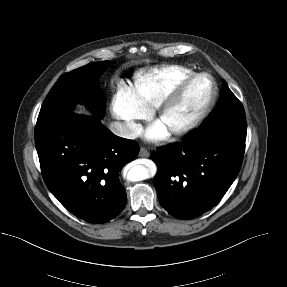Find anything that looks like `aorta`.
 I'll use <instances>...</instances> for the list:
<instances>
[{
	"instance_id": "762f6f07",
	"label": "aorta",
	"mask_w": 287,
	"mask_h": 287,
	"mask_svg": "<svg viewBox=\"0 0 287 287\" xmlns=\"http://www.w3.org/2000/svg\"><path fill=\"white\" fill-rule=\"evenodd\" d=\"M155 171V166L153 164H149L147 166L137 165L132 167L128 173L127 178L130 181L136 182L149 178Z\"/></svg>"
}]
</instances>
